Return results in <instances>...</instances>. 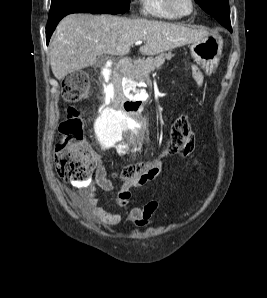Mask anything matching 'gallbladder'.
<instances>
[{
  "instance_id": "bac80fb5",
  "label": "gallbladder",
  "mask_w": 267,
  "mask_h": 298,
  "mask_svg": "<svg viewBox=\"0 0 267 298\" xmlns=\"http://www.w3.org/2000/svg\"><path fill=\"white\" fill-rule=\"evenodd\" d=\"M100 59L101 60H106V59H108V57L107 56H102V57H100Z\"/></svg>"
}]
</instances>
